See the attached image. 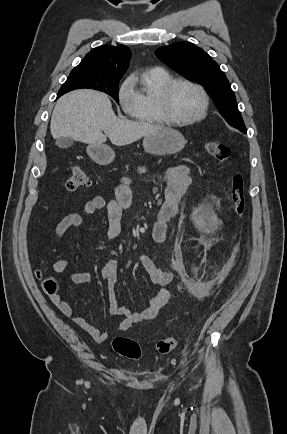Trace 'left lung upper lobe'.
Listing matches in <instances>:
<instances>
[{
    "mask_svg": "<svg viewBox=\"0 0 287 434\" xmlns=\"http://www.w3.org/2000/svg\"><path fill=\"white\" fill-rule=\"evenodd\" d=\"M155 54L186 79L203 85L228 124L245 129L228 79L203 49L189 42H178L157 49Z\"/></svg>",
    "mask_w": 287,
    "mask_h": 434,
    "instance_id": "1",
    "label": "left lung upper lobe"
}]
</instances>
